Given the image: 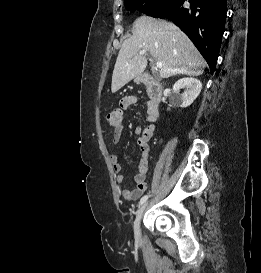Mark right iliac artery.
<instances>
[{
    "label": "right iliac artery",
    "mask_w": 261,
    "mask_h": 273,
    "mask_svg": "<svg viewBox=\"0 0 261 273\" xmlns=\"http://www.w3.org/2000/svg\"><path fill=\"white\" fill-rule=\"evenodd\" d=\"M148 197H149V195L143 196V197L141 198V200H140V204L145 203V202L147 201Z\"/></svg>",
    "instance_id": "82829eb1"
}]
</instances>
